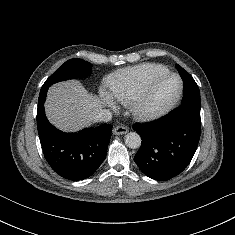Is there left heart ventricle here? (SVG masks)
<instances>
[{"label": "left heart ventricle", "mask_w": 235, "mask_h": 235, "mask_svg": "<svg viewBox=\"0 0 235 235\" xmlns=\"http://www.w3.org/2000/svg\"><path fill=\"white\" fill-rule=\"evenodd\" d=\"M179 83L175 78H165L158 81L152 88L147 100V107L155 109L168 103L177 93Z\"/></svg>", "instance_id": "1"}]
</instances>
